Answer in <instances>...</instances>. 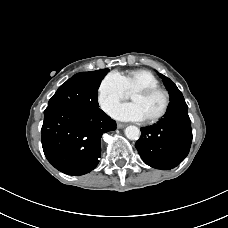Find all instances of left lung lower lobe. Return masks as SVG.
Wrapping results in <instances>:
<instances>
[{"instance_id":"0a47b994","label":"left lung lower lobe","mask_w":228,"mask_h":228,"mask_svg":"<svg viewBox=\"0 0 228 228\" xmlns=\"http://www.w3.org/2000/svg\"><path fill=\"white\" fill-rule=\"evenodd\" d=\"M192 142L191 120L183 96L172 99L157 124L141 128L135 146L143 161L157 169L168 170L188 155Z\"/></svg>"}]
</instances>
